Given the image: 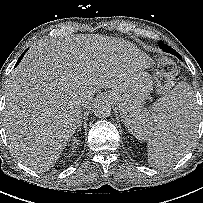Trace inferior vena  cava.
I'll return each instance as SVG.
<instances>
[{
  "label": "inferior vena cava",
  "instance_id": "obj_1",
  "mask_svg": "<svg viewBox=\"0 0 203 203\" xmlns=\"http://www.w3.org/2000/svg\"><path fill=\"white\" fill-rule=\"evenodd\" d=\"M81 103H82V106H83L84 105V101H82Z\"/></svg>",
  "mask_w": 203,
  "mask_h": 203
}]
</instances>
